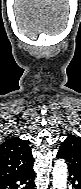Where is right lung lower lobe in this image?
Here are the masks:
<instances>
[{
  "instance_id": "obj_1",
  "label": "right lung lower lobe",
  "mask_w": 81,
  "mask_h": 189,
  "mask_svg": "<svg viewBox=\"0 0 81 189\" xmlns=\"http://www.w3.org/2000/svg\"><path fill=\"white\" fill-rule=\"evenodd\" d=\"M33 163L26 169L0 180V189H35Z\"/></svg>"
}]
</instances>
